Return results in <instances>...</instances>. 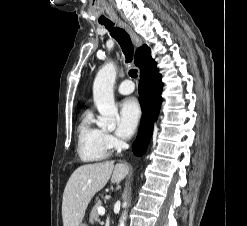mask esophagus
Returning <instances> with one entry per match:
<instances>
[{"label": "esophagus", "instance_id": "obj_1", "mask_svg": "<svg viewBox=\"0 0 247 226\" xmlns=\"http://www.w3.org/2000/svg\"><path fill=\"white\" fill-rule=\"evenodd\" d=\"M119 25L121 27H123L128 32V34L130 35V37H131L133 43L135 44V46L139 47L140 46L139 37L132 30V28L126 22H123V21H119Z\"/></svg>", "mask_w": 247, "mask_h": 226}]
</instances>
